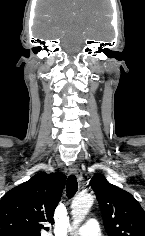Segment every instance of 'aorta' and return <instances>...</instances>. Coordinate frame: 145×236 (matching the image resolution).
<instances>
[{
	"label": "aorta",
	"mask_w": 145,
	"mask_h": 236,
	"mask_svg": "<svg viewBox=\"0 0 145 236\" xmlns=\"http://www.w3.org/2000/svg\"><path fill=\"white\" fill-rule=\"evenodd\" d=\"M93 202L94 198L91 195H80L73 200L71 205V214L75 227H77L84 220L93 205Z\"/></svg>",
	"instance_id": "aorta-1"
}]
</instances>
